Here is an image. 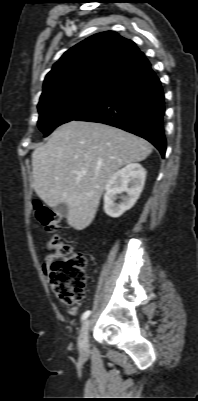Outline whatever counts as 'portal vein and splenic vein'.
<instances>
[{"instance_id": "obj_1", "label": "portal vein and splenic vein", "mask_w": 198, "mask_h": 401, "mask_svg": "<svg viewBox=\"0 0 198 401\" xmlns=\"http://www.w3.org/2000/svg\"><path fill=\"white\" fill-rule=\"evenodd\" d=\"M77 174H78L79 176H84L85 171H79Z\"/></svg>"}]
</instances>
